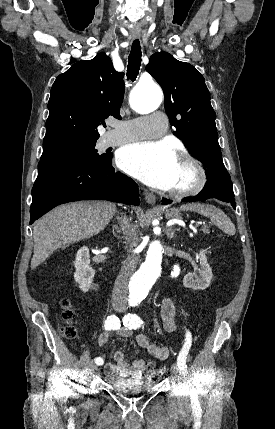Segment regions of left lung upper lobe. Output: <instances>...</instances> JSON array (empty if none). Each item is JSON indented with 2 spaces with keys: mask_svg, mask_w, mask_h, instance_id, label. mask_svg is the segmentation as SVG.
<instances>
[{
  "mask_svg": "<svg viewBox=\"0 0 275 429\" xmlns=\"http://www.w3.org/2000/svg\"><path fill=\"white\" fill-rule=\"evenodd\" d=\"M146 70L163 89L165 109L176 128L173 134L204 164L207 179L231 180L222 161L210 93L200 72L166 52L153 54Z\"/></svg>",
  "mask_w": 275,
  "mask_h": 429,
  "instance_id": "5c2ea615",
  "label": "left lung upper lobe"
}]
</instances>
